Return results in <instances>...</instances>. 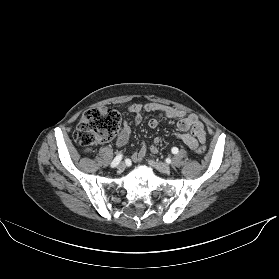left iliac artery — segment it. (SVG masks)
<instances>
[{"instance_id": "left-iliac-artery-1", "label": "left iliac artery", "mask_w": 279, "mask_h": 279, "mask_svg": "<svg viewBox=\"0 0 279 279\" xmlns=\"http://www.w3.org/2000/svg\"><path fill=\"white\" fill-rule=\"evenodd\" d=\"M171 151H172L173 154H177L178 153V148L177 147H173Z\"/></svg>"}]
</instances>
